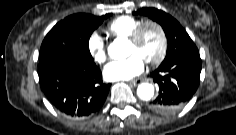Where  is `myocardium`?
<instances>
[{"label": "myocardium", "mask_w": 236, "mask_h": 135, "mask_svg": "<svg viewBox=\"0 0 236 135\" xmlns=\"http://www.w3.org/2000/svg\"><path fill=\"white\" fill-rule=\"evenodd\" d=\"M148 26H152L158 31L159 36H160V48L155 58L151 60H147L145 62L149 65H157L161 63L163 59L165 58L167 48H168L167 34L165 32V29L159 22L155 20L143 21L139 26L135 28L131 36L128 38V42L134 46H138L143 36V33Z\"/></svg>", "instance_id": "f54148a6"}]
</instances>
